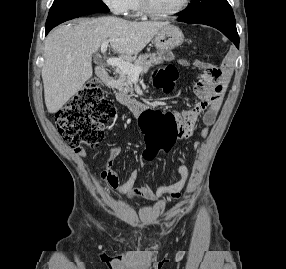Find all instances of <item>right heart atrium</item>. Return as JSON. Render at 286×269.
Here are the masks:
<instances>
[{
  "instance_id": "obj_1",
  "label": "right heart atrium",
  "mask_w": 286,
  "mask_h": 269,
  "mask_svg": "<svg viewBox=\"0 0 286 269\" xmlns=\"http://www.w3.org/2000/svg\"><path fill=\"white\" fill-rule=\"evenodd\" d=\"M104 5L116 15H124L127 12L128 0H102Z\"/></svg>"
}]
</instances>
